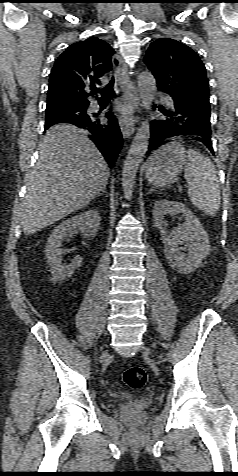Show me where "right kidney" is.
<instances>
[{"mask_svg":"<svg viewBox=\"0 0 238 476\" xmlns=\"http://www.w3.org/2000/svg\"><path fill=\"white\" fill-rule=\"evenodd\" d=\"M99 225V213L89 210L63 221L52 231L44 253L55 280L62 281L70 277L82 263V257L77 255L69 265L62 264L61 240L79 231L92 238L98 232Z\"/></svg>","mask_w":238,"mask_h":476,"instance_id":"obj_1","label":"right kidney"}]
</instances>
